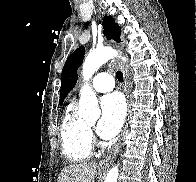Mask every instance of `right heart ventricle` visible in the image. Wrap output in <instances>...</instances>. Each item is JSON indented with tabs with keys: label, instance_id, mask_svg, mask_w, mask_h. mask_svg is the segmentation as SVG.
<instances>
[{
	"label": "right heart ventricle",
	"instance_id": "obj_1",
	"mask_svg": "<svg viewBox=\"0 0 196 182\" xmlns=\"http://www.w3.org/2000/svg\"><path fill=\"white\" fill-rule=\"evenodd\" d=\"M62 150L71 162H82L89 158L92 144L89 129L75 112V107L70 104L63 116L60 126Z\"/></svg>",
	"mask_w": 196,
	"mask_h": 182
}]
</instances>
